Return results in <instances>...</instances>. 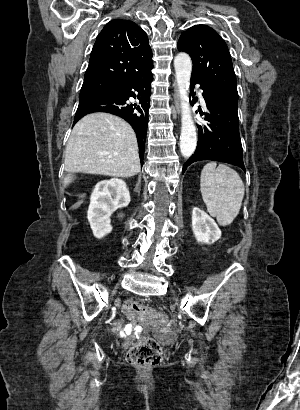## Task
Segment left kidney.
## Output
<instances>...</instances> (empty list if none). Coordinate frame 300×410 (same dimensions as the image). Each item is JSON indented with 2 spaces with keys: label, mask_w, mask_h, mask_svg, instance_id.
<instances>
[{
  "label": "left kidney",
  "mask_w": 300,
  "mask_h": 410,
  "mask_svg": "<svg viewBox=\"0 0 300 410\" xmlns=\"http://www.w3.org/2000/svg\"><path fill=\"white\" fill-rule=\"evenodd\" d=\"M192 230L199 243L213 244L221 237V231L215 221L197 207L192 211Z\"/></svg>",
  "instance_id": "5707ae66"
}]
</instances>
